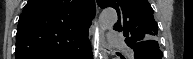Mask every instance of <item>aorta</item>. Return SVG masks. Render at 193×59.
I'll use <instances>...</instances> for the list:
<instances>
[{
  "mask_svg": "<svg viewBox=\"0 0 193 59\" xmlns=\"http://www.w3.org/2000/svg\"><path fill=\"white\" fill-rule=\"evenodd\" d=\"M117 13L114 9H105L101 12L99 16V27L102 32L112 28L114 24L117 22ZM101 57L105 59L108 57L106 52L105 44H102V52L100 54Z\"/></svg>",
  "mask_w": 193,
  "mask_h": 59,
  "instance_id": "1",
  "label": "aorta"
}]
</instances>
